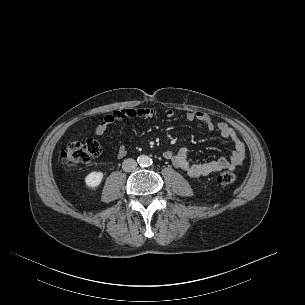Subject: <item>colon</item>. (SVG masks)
Wrapping results in <instances>:
<instances>
[{
    "label": "colon",
    "mask_w": 305,
    "mask_h": 305,
    "mask_svg": "<svg viewBox=\"0 0 305 305\" xmlns=\"http://www.w3.org/2000/svg\"><path fill=\"white\" fill-rule=\"evenodd\" d=\"M101 154V144L95 138H88L82 140H71L66 149L60 154L61 163L66 168H74L85 164L90 160L98 157ZM236 176L230 171H222L218 177V183L222 185H229L234 183Z\"/></svg>",
    "instance_id": "obj_1"
}]
</instances>
